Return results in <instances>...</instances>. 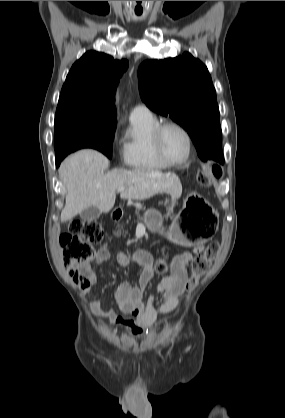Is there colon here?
Returning a JSON list of instances; mask_svg holds the SVG:
<instances>
[{"label": "colon", "instance_id": "5ec220e1", "mask_svg": "<svg viewBox=\"0 0 285 418\" xmlns=\"http://www.w3.org/2000/svg\"><path fill=\"white\" fill-rule=\"evenodd\" d=\"M222 175L220 167H203L198 176V181L203 186H209L213 178ZM103 240V232L96 222H83L73 219L67 232L59 238L65 258L64 265L74 283L81 289L91 287L92 279L89 274L88 262L93 259L97 251V245ZM220 245L218 242L208 244L199 252L192 261L191 277L188 285L193 287L197 278L203 274L210 263L217 257ZM161 271L166 269L162 262L158 267Z\"/></svg>", "mask_w": 285, "mask_h": 418}]
</instances>
